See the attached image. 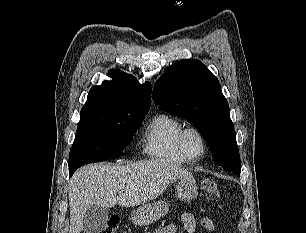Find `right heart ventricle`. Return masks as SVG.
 <instances>
[{
  "mask_svg": "<svg viewBox=\"0 0 306 233\" xmlns=\"http://www.w3.org/2000/svg\"><path fill=\"white\" fill-rule=\"evenodd\" d=\"M183 129V123L169 114L154 117L145 131L144 152L155 159L184 163L178 148V138Z\"/></svg>",
  "mask_w": 306,
  "mask_h": 233,
  "instance_id": "1",
  "label": "right heart ventricle"
}]
</instances>
